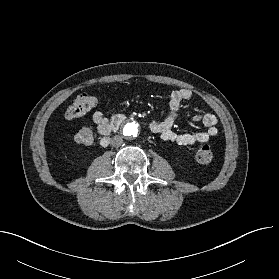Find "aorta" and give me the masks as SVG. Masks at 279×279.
I'll list each match as a JSON object with an SVG mask.
<instances>
[{"label":"aorta","mask_w":279,"mask_h":279,"mask_svg":"<svg viewBox=\"0 0 279 279\" xmlns=\"http://www.w3.org/2000/svg\"><path fill=\"white\" fill-rule=\"evenodd\" d=\"M139 132V125L135 121H128L123 125L122 133L126 138H134Z\"/></svg>","instance_id":"aorta-1"}]
</instances>
